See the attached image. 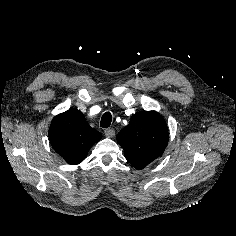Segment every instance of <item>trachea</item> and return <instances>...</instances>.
Returning a JSON list of instances; mask_svg holds the SVG:
<instances>
[{
  "label": "trachea",
  "instance_id": "3493384b",
  "mask_svg": "<svg viewBox=\"0 0 236 236\" xmlns=\"http://www.w3.org/2000/svg\"><path fill=\"white\" fill-rule=\"evenodd\" d=\"M112 115L110 112H105L102 115L100 126L103 128H108L111 125Z\"/></svg>",
  "mask_w": 236,
  "mask_h": 236
}]
</instances>
